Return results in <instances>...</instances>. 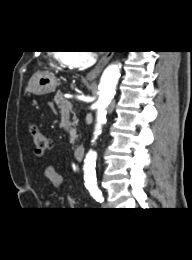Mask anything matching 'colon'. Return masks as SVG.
Returning a JSON list of instances; mask_svg holds the SVG:
<instances>
[{"label":"colon","mask_w":192,"mask_h":260,"mask_svg":"<svg viewBox=\"0 0 192 260\" xmlns=\"http://www.w3.org/2000/svg\"><path fill=\"white\" fill-rule=\"evenodd\" d=\"M30 135L37 155L41 156L50 147L47 135L36 125L31 126Z\"/></svg>","instance_id":"5ec220e1"}]
</instances>
